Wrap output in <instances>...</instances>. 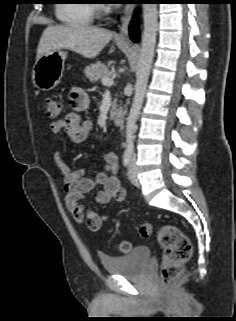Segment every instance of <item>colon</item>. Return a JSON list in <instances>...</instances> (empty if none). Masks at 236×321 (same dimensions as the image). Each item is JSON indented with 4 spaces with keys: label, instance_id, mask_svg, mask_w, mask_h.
<instances>
[{
    "label": "colon",
    "instance_id": "1",
    "mask_svg": "<svg viewBox=\"0 0 236 321\" xmlns=\"http://www.w3.org/2000/svg\"><path fill=\"white\" fill-rule=\"evenodd\" d=\"M44 108L46 115L51 119H56L61 113V103L55 98H46ZM138 232L143 238L154 236L163 248L160 276L165 286L171 284L182 274L184 265L191 256L192 245L190 240L177 227L172 225L154 228L150 223L143 222L139 224ZM131 249L132 243L128 240H122L116 244V250L122 254L129 253Z\"/></svg>",
    "mask_w": 236,
    "mask_h": 321
}]
</instances>
